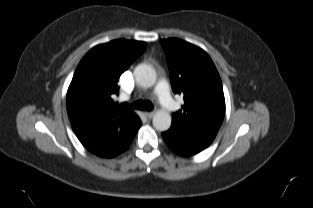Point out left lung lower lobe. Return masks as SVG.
I'll list each match as a JSON object with an SVG mask.
<instances>
[{
	"mask_svg": "<svg viewBox=\"0 0 313 208\" xmlns=\"http://www.w3.org/2000/svg\"><path fill=\"white\" fill-rule=\"evenodd\" d=\"M162 137L168 147L181 156L195 155L212 143V140L190 137L173 128L163 132Z\"/></svg>",
	"mask_w": 313,
	"mask_h": 208,
	"instance_id": "obj_1",
	"label": "left lung lower lobe"
}]
</instances>
